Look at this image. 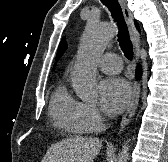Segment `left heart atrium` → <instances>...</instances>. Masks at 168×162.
Here are the masks:
<instances>
[{
	"mask_svg": "<svg viewBox=\"0 0 168 162\" xmlns=\"http://www.w3.org/2000/svg\"><path fill=\"white\" fill-rule=\"evenodd\" d=\"M131 98L128 83L118 77L105 79L100 86V102L103 110L109 115L123 111Z\"/></svg>",
	"mask_w": 168,
	"mask_h": 162,
	"instance_id": "left-heart-atrium-1",
	"label": "left heart atrium"
}]
</instances>
